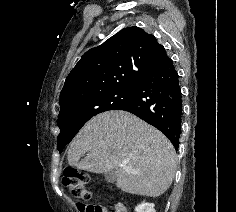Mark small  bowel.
<instances>
[{
    "mask_svg": "<svg viewBox=\"0 0 236 212\" xmlns=\"http://www.w3.org/2000/svg\"><path fill=\"white\" fill-rule=\"evenodd\" d=\"M104 212H109L107 209ZM114 212H126L122 204H117L114 208Z\"/></svg>",
    "mask_w": 236,
    "mask_h": 212,
    "instance_id": "obj_1",
    "label": "small bowel"
}]
</instances>
